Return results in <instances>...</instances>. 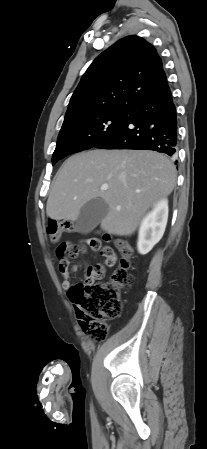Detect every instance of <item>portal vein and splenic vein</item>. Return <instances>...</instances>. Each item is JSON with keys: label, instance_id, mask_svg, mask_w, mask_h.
I'll return each mask as SVG.
<instances>
[{"label": "portal vein and splenic vein", "instance_id": "portal-vein-and-splenic-vein-1", "mask_svg": "<svg viewBox=\"0 0 207 449\" xmlns=\"http://www.w3.org/2000/svg\"><path fill=\"white\" fill-rule=\"evenodd\" d=\"M100 189H101V191H105V190L108 189V185H107V184H104V185H102V186L100 187Z\"/></svg>", "mask_w": 207, "mask_h": 449}]
</instances>
